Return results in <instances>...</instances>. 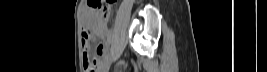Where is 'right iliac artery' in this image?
Returning <instances> with one entry per match:
<instances>
[{"label":"right iliac artery","instance_id":"1","mask_svg":"<svg viewBox=\"0 0 267 72\" xmlns=\"http://www.w3.org/2000/svg\"><path fill=\"white\" fill-rule=\"evenodd\" d=\"M110 58V52H108L104 58L103 64H105Z\"/></svg>","mask_w":267,"mask_h":72}]
</instances>
